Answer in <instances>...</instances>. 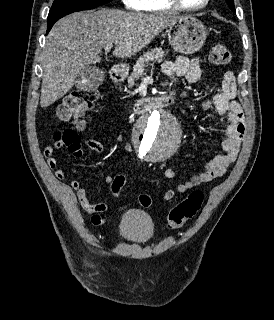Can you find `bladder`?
I'll list each match as a JSON object with an SVG mask.
<instances>
[{
    "label": "bladder",
    "instance_id": "31cf9c89",
    "mask_svg": "<svg viewBox=\"0 0 274 320\" xmlns=\"http://www.w3.org/2000/svg\"><path fill=\"white\" fill-rule=\"evenodd\" d=\"M119 234L128 242H146L154 235V224L147 213L131 210L123 215L119 224Z\"/></svg>",
    "mask_w": 274,
    "mask_h": 320
}]
</instances>
